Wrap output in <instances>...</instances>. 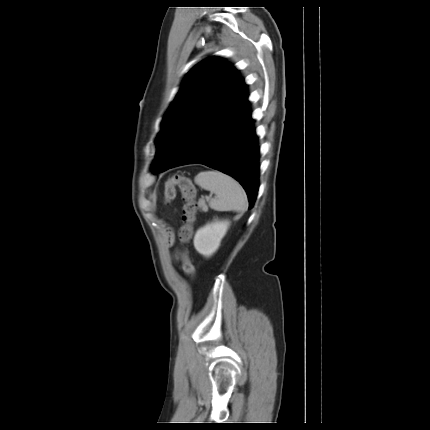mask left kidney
Segmentation results:
<instances>
[{
  "label": "left kidney",
  "instance_id": "obj_1",
  "mask_svg": "<svg viewBox=\"0 0 430 430\" xmlns=\"http://www.w3.org/2000/svg\"><path fill=\"white\" fill-rule=\"evenodd\" d=\"M229 226L228 220L215 219L200 227L196 231L193 241L197 252L206 258L211 257L219 248Z\"/></svg>",
  "mask_w": 430,
  "mask_h": 430
}]
</instances>
